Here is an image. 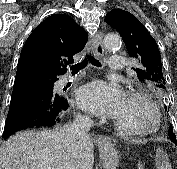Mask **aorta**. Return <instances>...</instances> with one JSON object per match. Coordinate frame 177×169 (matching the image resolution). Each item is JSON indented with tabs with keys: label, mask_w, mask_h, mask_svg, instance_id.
Wrapping results in <instances>:
<instances>
[{
	"label": "aorta",
	"mask_w": 177,
	"mask_h": 169,
	"mask_svg": "<svg viewBox=\"0 0 177 169\" xmlns=\"http://www.w3.org/2000/svg\"><path fill=\"white\" fill-rule=\"evenodd\" d=\"M104 44L108 50L116 49L121 45V39L118 35H107L104 39Z\"/></svg>",
	"instance_id": "obj_1"
}]
</instances>
